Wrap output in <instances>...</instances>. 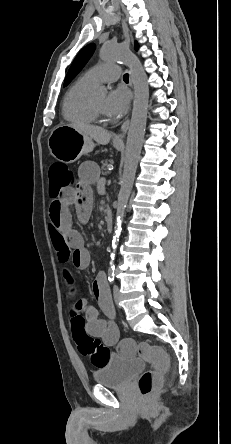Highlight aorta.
Instances as JSON below:
<instances>
[{"label": "aorta", "instance_id": "obj_1", "mask_svg": "<svg viewBox=\"0 0 231 444\" xmlns=\"http://www.w3.org/2000/svg\"><path fill=\"white\" fill-rule=\"evenodd\" d=\"M103 61H122L131 69L132 82L134 86V101L131 122L129 126L126 151L124 158V169L120 180V191L117 200L116 223L112 240L113 248L119 240L121 224L131 194L139 156L142 149L145 127L147 121V107L149 100V87L147 77L138 57L119 44L106 42L100 50ZM100 94H105L104 87L98 88ZM114 254H112V258Z\"/></svg>", "mask_w": 231, "mask_h": 444}]
</instances>
